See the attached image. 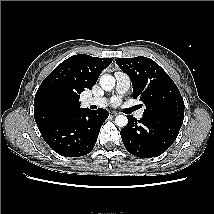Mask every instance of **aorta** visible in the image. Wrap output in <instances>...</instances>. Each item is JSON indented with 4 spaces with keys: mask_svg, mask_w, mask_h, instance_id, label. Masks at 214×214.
<instances>
[{
    "mask_svg": "<svg viewBox=\"0 0 214 214\" xmlns=\"http://www.w3.org/2000/svg\"><path fill=\"white\" fill-rule=\"evenodd\" d=\"M100 86L105 91H110L115 86V78L109 74H104L100 77ZM128 123V119L124 115H118L115 118V124L119 127H125Z\"/></svg>",
    "mask_w": 214,
    "mask_h": 214,
    "instance_id": "obj_1",
    "label": "aorta"
}]
</instances>
